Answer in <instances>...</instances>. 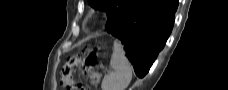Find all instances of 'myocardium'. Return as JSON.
Returning a JSON list of instances; mask_svg holds the SVG:
<instances>
[{
  "instance_id": "f54148a6",
  "label": "myocardium",
  "mask_w": 228,
  "mask_h": 90,
  "mask_svg": "<svg viewBox=\"0 0 228 90\" xmlns=\"http://www.w3.org/2000/svg\"><path fill=\"white\" fill-rule=\"evenodd\" d=\"M93 23H94V25H97L99 23V19L95 18Z\"/></svg>"
}]
</instances>
